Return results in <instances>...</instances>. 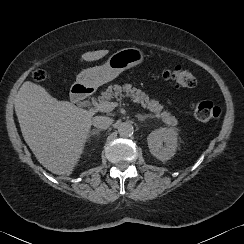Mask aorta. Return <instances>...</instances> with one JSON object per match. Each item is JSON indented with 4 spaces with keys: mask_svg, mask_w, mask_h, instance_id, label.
<instances>
[{
    "mask_svg": "<svg viewBox=\"0 0 244 244\" xmlns=\"http://www.w3.org/2000/svg\"><path fill=\"white\" fill-rule=\"evenodd\" d=\"M118 132L121 136L128 137L133 134L134 128L130 123L124 122L118 126Z\"/></svg>",
    "mask_w": 244,
    "mask_h": 244,
    "instance_id": "762f6f07",
    "label": "aorta"
}]
</instances>
